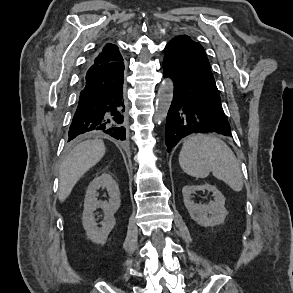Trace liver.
Segmentation results:
<instances>
[{"label": "liver", "mask_w": 293, "mask_h": 293, "mask_svg": "<svg viewBox=\"0 0 293 293\" xmlns=\"http://www.w3.org/2000/svg\"><path fill=\"white\" fill-rule=\"evenodd\" d=\"M105 154L102 140H86L78 144L63 160L59 169V200L64 202L79 179Z\"/></svg>", "instance_id": "1"}]
</instances>
